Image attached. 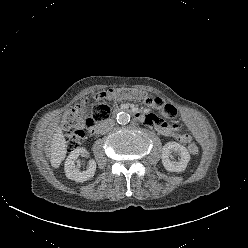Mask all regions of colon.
I'll use <instances>...</instances> for the list:
<instances>
[{"label":"colon","mask_w":248,"mask_h":248,"mask_svg":"<svg viewBox=\"0 0 248 248\" xmlns=\"http://www.w3.org/2000/svg\"><path fill=\"white\" fill-rule=\"evenodd\" d=\"M122 98L145 99L150 104L153 103L154 99H157L148 98L142 91L130 89H112L98 93L93 98L85 99L67 111L63 116L62 125L65 129V139L68 150L74 151L77 149L80 146L85 133H91L96 122L102 121L108 117L110 108L107 101ZM162 103L164 104L165 102L162 100ZM172 107L177 110L173 105ZM188 151L192 155H195L198 153L199 148L195 143H189Z\"/></svg>","instance_id":"5ec220e1"}]
</instances>
